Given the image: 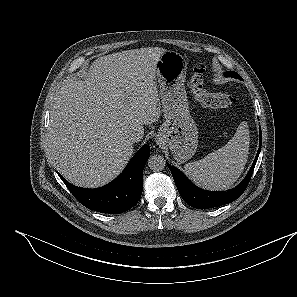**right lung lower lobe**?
<instances>
[{"label":"right lung lower lobe","instance_id":"1","mask_svg":"<svg viewBox=\"0 0 297 297\" xmlns=\"http://www.w3.org/2000/svg\"><path fill=\"white\" fill-rule=\"evenodd\" d=\"M150 155L144 145L114 181L98 189H85L68 183L59 173L73 196L85 207L101 212L118 214L132 208L140 199L143 189V168Z\"/></svg>","mask_w":297,"mask_h":297}]
</instances>
